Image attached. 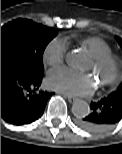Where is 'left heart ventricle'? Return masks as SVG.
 <instances>
[{
  "label": "left heart ventricle",
  "mask_w": 122,
  "mask_h": 154,
  "mask_svg": "<svg viewBox=\"0 0 122 154\" xmlns=\"http://www.w3.org/2000/svg\"><path fill=\"white\" fill-rule=\"evenodd\" d=\"M91 69H92V62L89 64V67H88V70H91ZM97 77L100 80V77L99 76H97Z\"/></svg>",
  "instance_id": "1"
}]
</instances>
